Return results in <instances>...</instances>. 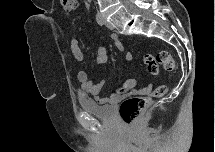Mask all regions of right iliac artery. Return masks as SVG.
<instances>
[{
    "instance_id": "obj_1",
    "label": "right iliac artery",
    "mask_w": 215,
    "mask_h": 152,
    "mask_svg": "<svg viewBox=\"0 0 215 152\" xmlns=\"http://www.w3.org/2000/svg\"><path fill=\"white\" fill-rule=\"evenodd\" d=\"M96 21L100 26L104 25V21L99 14H96Z\"/></svg>"
}]
</instances>
